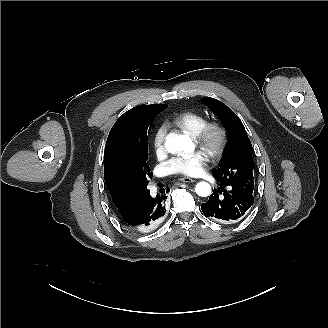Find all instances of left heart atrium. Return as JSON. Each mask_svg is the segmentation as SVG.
Masks as SVG:
<instances>
[{
	"label": "left heart atrium",
	"mask_w": 328,
	"mask_h": 328,
	"mask_svg": "<svg viewBox=\"0 0 328 328\" xmlns=\"http://www.w3.org/2000/svg\"><path fill=\"white\" fill-rule=\"evenodd\" d=\"M208 158L202 152H191L189 154L173 159L168 164L172 173H180L186 176H200L207 167Z\"/></svg>",
	"instance_id": "left-heart-atrium-1"
}]
</instances>
